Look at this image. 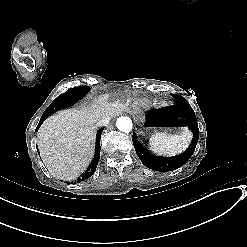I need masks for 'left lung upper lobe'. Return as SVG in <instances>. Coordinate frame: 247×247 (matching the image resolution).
Listing matches in <instances>:
<instances>
[{"instance_id":"obj_1","label":"left lung upper lobe","mask_w":247,"mask_h":247,"mask_svg":"<svg viewBox=\"0 0 247 247\" xmlns=\"http://www.w3.org/2000/svg\"><path fill=\"white\" fill-rule=\"evenodd\" d=\"M177 103H184L187 102V100L183 97H178V99L176 100Z\"/></svg>"}]
</instances>
